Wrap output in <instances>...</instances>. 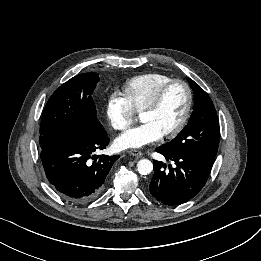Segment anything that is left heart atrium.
Wrapping results in <instances>:
<instances>
[{
  "mask_svg": "<svg viewBox=\"0 0 261 261\" xmlns=\"http://www.w3.org/2000/svg\"><path fill=\"white\" fill-rule=\"evenodd\" d=\"M162 136L153 125L142 123L120 135L116 139V145L121 149L140 148L160 140Z\"/></svg>",
  "mask_w": 261,
  "mask_h": 261,
  "instance_id": "obj_1",
  "label": "left heart atrium"
}]
</instances>
